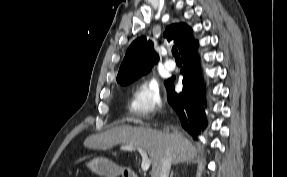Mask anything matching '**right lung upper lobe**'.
I'll list each match as a JSON object with an SVG mask.
<instances>
[{"mask_svg":"<svg viewBox=\"0 0 287 177\" xmlns=\"http://www.w3.org/2000/svg\"><path fill=\"white\" fill-rule=\"evenodd\" d=\"M164 37L179 47L183 53L193 38L192 29L185 23H177L167 27ZM158 61V55L153 49V42L146 37L135 39L129 46L125 58L120 66L117 81L119 83L135 80L148 73L153 64Z\"/></svg>","mask_w":287,"mask_h":177,"instance_id":"cb5924a9","label":"right lung upper lobe"}]
</instances>
